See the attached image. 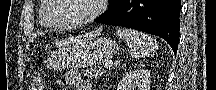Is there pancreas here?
Masks as SVG:
<instances>
[{
	"mask_svg": "<svg viewBox=\"0 0 216 90\" xmlns=\"http://www.w3.org/2000/svg\"><path fill=\"white\" fill-rule=\"evenodd\" d=\"M90 69L91 70H87V72H85L88 78H97L98 74L102 72V70H98L101 69V64H90Z\"/></svg>",
	"mask_w": 216,
	"mask_h": 90,
	"instance_id": "cf45deb5",
	"label": "pancreas"
}]
</instances>
